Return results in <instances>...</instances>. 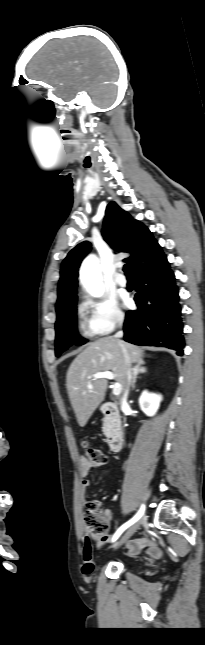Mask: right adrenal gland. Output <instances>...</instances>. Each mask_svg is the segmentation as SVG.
Here are the masks:
<instances>
[{"label": "right adrenal gland", "mask_w": 205, "mask_h": 645, "mask_svg": "<svg viewBox=\"0 0 205 645\" xmlns=\"http://www.w3.org/2000/svg\"><path fill=\"white\" fill-rule=\"evenodd\" d=\"M144 365H145V362L140 361V362H137L135 364L134 368H133V380H132V386H131L132 390L135 389V383H136L137 376L139 374H143V373L147 372V369H146V367H144Z\"/></svg>", "instance_id": "obj_1"}]
</instances>
